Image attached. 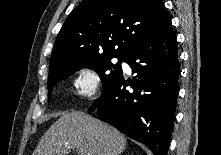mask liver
<instances>
[{
    "label": "liver",
    "instance_id": "1",
    "mask_svg": "<svg viewBox=\"0 0 221 155\" xmlns=\"http://www.w3.org/2000/svg\"><path fill=\"white\" fill-rule=\"evenodd\" d=\"M126 138L117 129L83 112L63 114L41 138L33 155H121Z\"/></svg>",
    "mask_w": 221,
    "mask_h": 155
}]
</instances>
